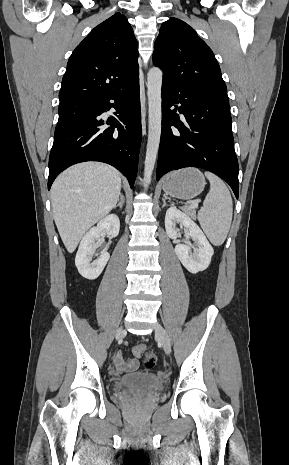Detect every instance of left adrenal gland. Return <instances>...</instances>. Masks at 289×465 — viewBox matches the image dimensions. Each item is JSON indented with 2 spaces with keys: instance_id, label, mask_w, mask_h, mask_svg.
<instances>
[{
  "instance_id": "left-adrenal-gland-1",
  "label": "left adrenal gland",
  "mask_w": 289,
  "mask_h": 465,
  "mask_svg": "<svg viewBox=\"0 0 289 465\" xmlns=\"http://www.w3.org/2000/svg\"><path fill=\"white\" fill-rule=\"evenodd\" d=\"M162 201H163V205H162V208H163V207L166 206V196H164V197L162 198Z\"/></svg>"
}]
</instances>
